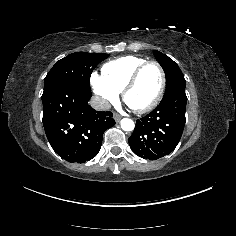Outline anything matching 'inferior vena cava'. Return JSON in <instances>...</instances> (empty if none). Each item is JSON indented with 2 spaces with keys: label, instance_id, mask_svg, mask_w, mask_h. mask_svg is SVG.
Listing matches in <instances>:
<instances>
[{
  "label": "inferior vena cava",
  "instance_id": "1",
  "mask_svg": "<svg viewBox=\"0 0 236 236\" xmlns=\"http://www.w3.org/2000/svg\"><path fill=\"white\" fill-rule=\"evenodd\" d=\"M89 103L90 106L96 111H106L110 109V103L106 99L98 95H93L90 98Z\"/></svg>",
  "mask_w": 236,
  "mask_h": 236
}]
</instances>
